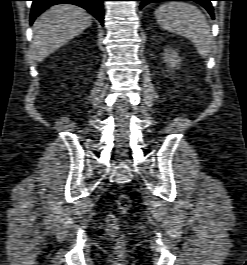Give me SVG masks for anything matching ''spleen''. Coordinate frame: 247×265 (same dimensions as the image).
Returning <instances> with one entry per match:
<instances>
[{"label": "spleen", "instance_id": "spleen-1", "mask_svg": "<svg viewBox=\"0 0 247 265\" xmlns=\"http://www.w3.org/2000/svg\"><path fill=\"white\" fill-rule=\"evenodd\" d=\"M155 17L163 29L189 39L203 58L208 56L213 37L205 15L196 6L186 2L164 3L156 9Z\"/></svg>", "mask_w": 247, "mask_h": 265}]
</instances>
